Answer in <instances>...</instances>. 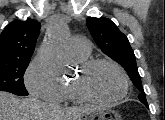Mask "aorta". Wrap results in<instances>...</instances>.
Instances as JSON below:
<instances>
[{
  "mask_svg": "<svg viewBox=\"0 0 165 120\" xmlns=\"http://www.w3.org/2000/svg\"><path fill=\"white\" fill-rule=\"evenodd\" d=\"M66 33V23L61 19H54L39 50L41 60L54 76H59L66 70V61L63 58Z\"/></svg>",
  "mask_w": 165,
  "mask_h": 120,
  "instance_id": "obj_1",
  "label": "aorta"
}]
</instances>
